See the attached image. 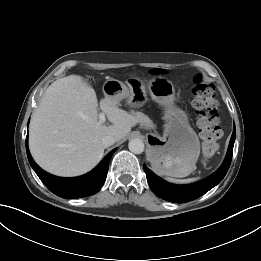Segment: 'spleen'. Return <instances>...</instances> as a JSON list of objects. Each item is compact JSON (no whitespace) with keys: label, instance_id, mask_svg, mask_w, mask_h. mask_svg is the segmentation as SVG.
Returning <instances> with one entry per match:
<instances>
[{"label":"spleen","instance_id":"spleen-1","mask_svg":"<svg viewBox=\"0 0 261 261\" xmlns=\"http://www.w3.org/2000/svg\"><path fill=\"white\" fill-rule=\"evenodd\" d=\"M166 179H167L168 181L177 182V183H187V182H191V181L196 180V178L184 179V180H177V179H173V178H169V177H167Z\"/></svg>","mask_w":261,"mask_h":261}]
</instances>
